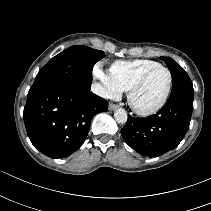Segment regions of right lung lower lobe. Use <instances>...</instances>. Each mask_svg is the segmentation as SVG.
Instances as JSON below:
<instances>
[{"mask_svg":"<svg viewBox=\"0 0 211 211\" xmlns=\"http://www.w3.org/2000/svg\"><path fill=\"white\" fill-rule=\"evenodd\" d=\"M107 109L108 102L90 89L40 83L28 92L23 118L37 150L51 158H64L83 144L93 116Z\"/></svg>","mask_w":211,"mask_h":211,"instance_id":"obj_1","label":"right lung lower lobe"}]
</instances>
